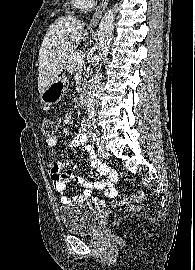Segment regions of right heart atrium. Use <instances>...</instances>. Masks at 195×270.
Instances as JSON below:
<instances>
[{"label": "right heart atrium", "instance_id": "right-heart-atrium-1", "mask_svg": "<svg viewBox=\"0 0 195 270\" xmlns=\"http://www.w3.org/2000/svg\"><path fill=\"white\" fill-rule=\"evenodd\" d=\"M84 1L89 5L91 0H84Z\"/></svg>", "mask_w": 195, "mask_h": 270}]
</instances>
